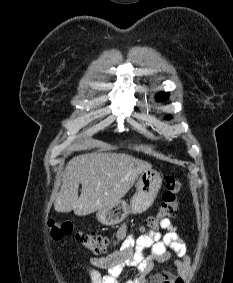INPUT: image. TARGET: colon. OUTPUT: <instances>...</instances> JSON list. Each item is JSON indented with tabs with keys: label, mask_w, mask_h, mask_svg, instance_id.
Segmentation results:
<instances>
[{
	"label": "colon",
	"mask_w": 233,
	"mask_h": 283,
	"mask_svg": "<svg viewBox=\"0 0 233 283\" xmlns=\"http://www.w3.org/2000/svg\"><path fill=\"white\" fill-rule=\"evenodd\" d=\"M181 184L177 178L168 175L165 179V191L162 202L156 215L150 216L145 221L141 230L144 233L155 232L161 222L165 219L174 218L179 208V192ZM49 235L52 239H60L64 235L75 234L80 244L95 254L106 253L109 246V239L106 236L93 232L77 231L70 220H49L47 224Z\"/></svg>",
	"instance_id": "obj_1"
}]
</instances>
